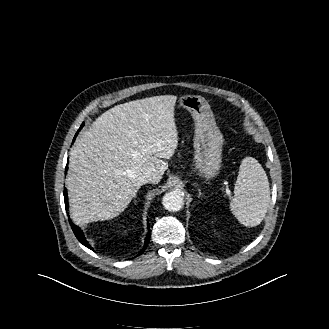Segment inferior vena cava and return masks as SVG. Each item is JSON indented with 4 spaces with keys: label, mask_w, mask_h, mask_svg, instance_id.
<instances>
[{
    "label": "inferior vena cava",
    "mask_w": 329,
    "mask_h": 329,
    "mask_svg": "<svg viewBox=\"0 0 329 329\" xmlns=\"http://www.w3.org/2000/svg\"><path fill=\"white\" fill-rule=\"evenodd\" d=\"M139 181L141 182V184L153 183L154 181H156V177L151 171H145L139 177Z\"/></svg>",
    "instance_id": "inferior-vena-cava-1"
}]
</instances>
